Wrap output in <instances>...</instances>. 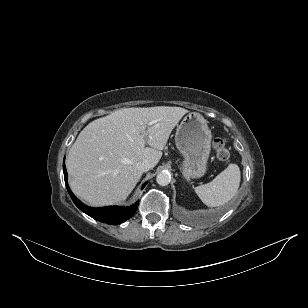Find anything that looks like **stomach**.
Returning <instances> with one entry per match:
<instances>
[{
	"label": "stomach",
	"mask_w": 308,
	"mask_h": 308,
	"mask_svg": "<svg viewBox=\"0 0 308 308\" xmlns=\"http://www.w3.org/2000/svg\"><path fill=\"white\" fill-rule=\"evenodd\" d=\"M211 139L208 121L200 113H189L177 126L175 144L183 155L180 168L187 180L200 178L205 174Z\"/></svg>",
	"instance_id": "stomach-1"
}]
</instances>
